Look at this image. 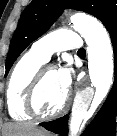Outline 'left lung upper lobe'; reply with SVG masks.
Instances as JSON below:
<instances>
[{"label":"left lung upper lobe","instance_id":"5c2ea615","mask_svg":"<svg viewBox=\"0 0 117 136\" xmlns=\"http://www.w3.org/2000/svg\"><path fill=\"white\" fill-rule=\"evenodd\" d=\"M116 3L117 0H32L23 11L12 37L5 77L20 53L50 28L65 8L92 14L105 26L117 14Z\"/></svg>","mask_w":117,"mask_h":136}]
</instances>
